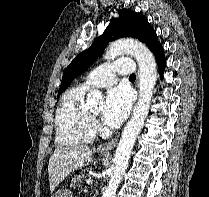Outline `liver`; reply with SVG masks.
Segmentation results:
<instances>
[{"instance_id": "liver-1", "label": "liver", "mask_w": 209, "mask_h": 197, "mask_svg": "<svg viewBox=\"0 0 209 197\" xmlns=\"http://www.w3.org/2000/svg\"><path fill=\"white\" fill-rule=\"evenodd\" d=\"M92 161L89 146H59L49 159L48 174L51 192L71 172L88 165Z\"/></svg>"}]
</instances>
